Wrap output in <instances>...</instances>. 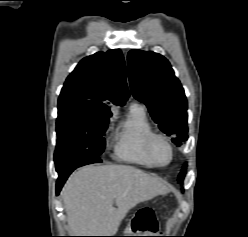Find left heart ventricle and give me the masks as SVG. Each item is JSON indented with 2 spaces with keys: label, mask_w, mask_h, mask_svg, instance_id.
<instances>
[{
  "label": "left heart ventricle",
  "mask_w": 248,
  "mask_h": 237,
  "mask_svg": "<svg viewBox=\"0 0 248 237\" xmlns=\"http://www.w3.org/2000/svg\"><path fill=\"white\" fill-rule=\"evenodd\" d=\"M153 155L161 163H166L169 160V149L161 140H155L153 143Z\"/></svg>",
  "instance_id": "b2bd125f"
}]
</instances>
